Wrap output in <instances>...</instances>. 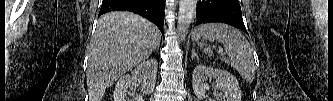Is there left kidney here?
<instances>
[{"instance_id":"left-kidney-1","label":"left kidney","mask_w":333,"mask_h":101,"mask_svg":"<svg viewBox=\"0 0 333 101\" xmlns=\"http://www.w3.org/2000/svg\"><path fill=\"white\" fill-rule=\"evenodd\" d=\"M192 78L194 94L200 100L206 97V91L210 89L206 81L208 78H214L217 87L224 92L223 99H226V101H241L242 93L238 81L228 71L198 65L193 71Z\"/></svg>"}]
</instances>
